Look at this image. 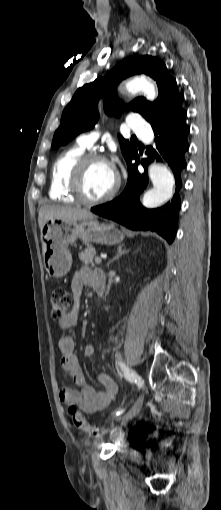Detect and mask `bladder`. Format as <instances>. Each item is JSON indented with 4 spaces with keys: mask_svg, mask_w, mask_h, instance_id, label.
I'll return each instance as SVG.
<instances>
[{
    "mask_svg": "<svg viewBox=\"0 0 221 510\" xmlns=\"http://www.w3.org/2000/svg\"><path fill=\"white\" fill-rule=\"evenodd\" d=\"M122 447L125 448L126 447V444H122Z\"/></svg>",
    "mask_w": 221,
    "mask_h": 510,
    "instance_id": "obj_1",
    "label": "bladder"
}]
</instances>
